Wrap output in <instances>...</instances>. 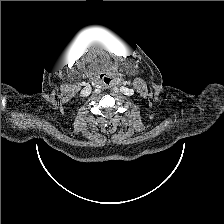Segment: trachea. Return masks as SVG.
<instances>
[{"mask_svg":"<svg viewBox=\"0 0 224 224\" xmlns=\"http://www.w3.org/2000/svg\"><path fill=\"white\" fill-rule=\"evenodd\" d=\"M105 80H108V81H109V80H111V79H110V78H106Z\"/></svg>","mask_w":224,"mask_h":224,"instance_id":"obj_1","label":"trachea"}]
</instances>
